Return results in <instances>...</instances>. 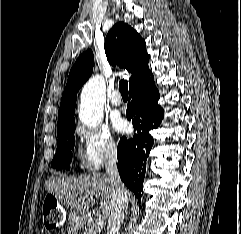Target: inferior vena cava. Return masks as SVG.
Returning <instances> with one entry per match:
<instances>
[{"label":"inferior vena cava","mask_w":241,"mask_h":234,"mask_svg":"<svg viewBox=\"0 0 241 234\" xmlns=\"http://www.w3.org/2000/svg\"><path fill=\"white\" fill-rule=\"evenodd\" d=\"M105 167L106 174L112 185V210L108 218L107 234H119L120 226L128 207V196L119 176L115 145H111L109 148Z\"/></svg>","instance_id":"602c4592"}]
</instances>
